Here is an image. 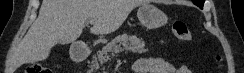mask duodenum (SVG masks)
Masks as SVG:
<instances>
[{
	"label": "duodenum",
	"instance_id": "obj_1",
	"mask_svg": "<svg viewBox=\"0 0 244 73\" xmlns=\"http://www.w3.org/2000/svg\"><path fill=\"white\" fill-rule=\"evenodd\" d=\"M91 48L85 43H78L71 48V58L74 62H81L89 57Z\"/></svg>",
	"mask_w": 244,
	"mask_h": 73
}]
</instances>
